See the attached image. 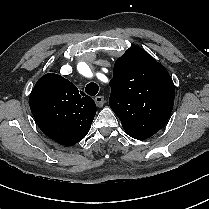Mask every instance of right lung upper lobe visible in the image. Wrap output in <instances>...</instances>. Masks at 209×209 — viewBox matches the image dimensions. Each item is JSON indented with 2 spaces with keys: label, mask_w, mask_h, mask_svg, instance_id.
Instances as JSON below:
<instances>
[{
  "label": "right lung upper lobe",
  "mask_w": 209,
  "mask_h": 209,
  "mask_svg": "<svg viewBox=\"0 0 209 209\" xmlns=\"http://www.w3.org/2000/svg\"><path fill=\"white\" fill-rule=\"evenodd\" d=\"M31 112L41 131L65 146L81 141L96 114L94 100L69 80L48 73L35 84L29 99Z\"/></svg>",
  "instance_id": "right-lung-upper-lobe-1"
}]
</instances>
